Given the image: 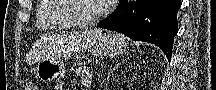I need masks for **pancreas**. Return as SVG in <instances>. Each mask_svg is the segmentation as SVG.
Returning <instances> with one entry per match:
<instances>
[{"instance_id":"obj_1","label":"pancreas","mask_w":216,"mask_h":90,"mask_svg":"<svg viewBox=\"0 0 216 90\" xmlns=\"http://www.w3.org/2000/svg\"><path fill=\"white\" fill-rule=\"evenodd\" d=\"M73 72L78 80H82L83 84H87V80H91L92 78V74L88 68H75Z\"/></svg>"}]
</instances>
